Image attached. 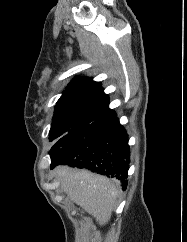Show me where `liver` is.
Listing matches in <instances>:
<instances>
[{
  "label": "liver",
  "instance_id": "6515ba94",
  "mask_svg": "<svg viewBox=\"0 0 187 242\" xmlns=\"http://www.w3.org/2000/svg\"><path fill=\"white\" fill-rule=\"evenodd\" d=\"M54 174L61 182V189L74 203L91 214L99 225L108 223L118 194L108 178L66 166L57 167Z\"/></svg>",
  "mask_w": 187,
  "mask_h": 242
}]
</instances>
